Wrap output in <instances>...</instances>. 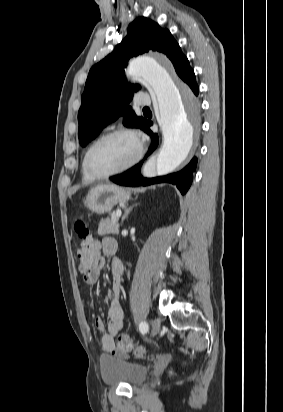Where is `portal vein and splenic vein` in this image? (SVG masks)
Wrapping results in <instances>:
<instances>
[{
    "instance_id": "portal-vein-and-splenic-vein-1",
    "label": "portal vein and splenic vein",
    "mask_w": 283,
    "mask_h": 412,
    "mask_svg": "<svg viewBox=\"0 0 283 412\" xmlns=\"http://www.w3.org/2000/svg\"><path fill=\"white\" fill-rule=\"evenodd\" d=\"M121 214H122V213H121V210H117V211H116V216H117L118 218L121 216Z\"/></svg>"
}]
</instances>
